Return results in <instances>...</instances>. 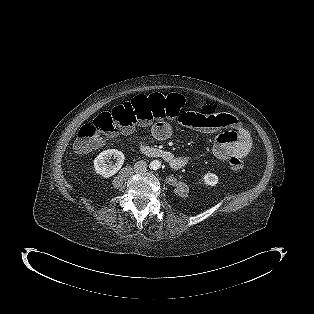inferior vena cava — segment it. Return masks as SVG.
Segmentation results:
<instances>
[{
	"mask_svg": "<svg viewBox=\"0 0 314 314\" xmlns=\"http://www.w3.org/2000/svg\"><path fill=\"white\" fill-rule=\"evenodd\" d=\"M147 163L145 161H137L134 165V170L136 173H142L147 170Z\"/></svg>",
	"mask_w": 314,
	"mask_h": 314,
	"instance_id": "inferior-vena-cava-1",
	"label": "inferior vena cava"
}]
</instances>
